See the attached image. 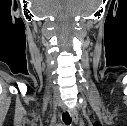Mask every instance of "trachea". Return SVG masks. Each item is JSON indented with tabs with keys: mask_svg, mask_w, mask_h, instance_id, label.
I'll return each instance as SVG.
<instances>
[{
	"mask_svg": "<svg viewBox=\"0 0 127 126\" xmlns=\"http://www.w3.org/2000/svg\"><path fill=\"white\" fill-rule=\"evenodd\" d=\"M62 120L66 125H70L71 123V117L68 112L63 113Z\"/></svg>",
	"mask_w": 127,
	"mask_h": 126,
	"instance_id": "3493384b",
	"label": "trachea"
}]
</instances>
